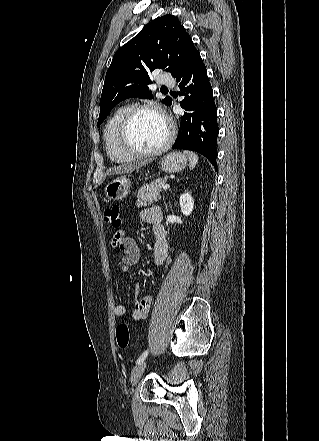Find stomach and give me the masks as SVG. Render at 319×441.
Returning <instances> with one entry per match:
<instances>
[{"label":"stomach","instance_id":"1","mask_svg":"<svg viewBox=\"0 0 319 441\" xmlns=\"http://www.w3.org/2000/svg\"><path fill=\"white\" fill-rule=\"evenodd\" d=\"M186 156L181 152H171L160 161L161 170L167 173L179 172L185 168ZM131 182L126 176H120L110 181L104 189L108 200H121L130 191Z\"/></svg>","mask_w":319,"mask_h":441}]
</instances>
